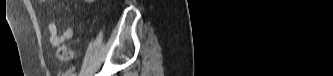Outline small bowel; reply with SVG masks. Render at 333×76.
Instances as JSON below:
<instances>
[{"label": "small bowel", "mask_w": 333, "mask_h": 76, "mask_svg": "<svg viewBox=\"0 0 333 76\" xmlns=\"http://www.w3.org/2000/svg\"><path fill=\"white\" fill-rule=\"evenodd\" d=\"M48 29L49 42L52 46L55 47L64 44L67 40L72 39L75 35L73 27H67L62 32H60L54 21L49 23Z\"/></svg>", "instance_id": "small-bowel-1"}]
</instances>
